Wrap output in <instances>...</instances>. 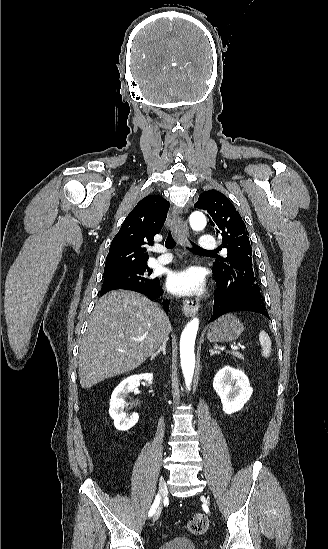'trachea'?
<instances>
[{"mask_svg": "<svg viewBox=\"0 0 328 549\" xmlns=\"http://www.w3.org/2000/svg\"><path fill=\"white\" fill-rule=\"evenodd\" d=\"M191 245L192 247H187L189 250L191 251H201V250H204V249H201V247H199L198 245L194 244L193 242H191ZM176 246V241L174 240L173 236H172V233L171 232H168V237L166 239V242H165V247L167 249H173L174 247Z\"/></svg>", "mask_w": 328, "mask_h": 549, "instance_id": "1", "label": "trachea"}]
</instances>
